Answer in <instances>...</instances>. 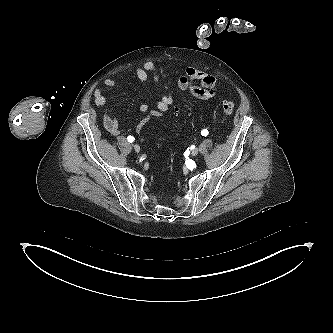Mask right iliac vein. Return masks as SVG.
<instances>
[{"label":"right iliac vein","instance_id":"obj_1","mask_svg":"<svg viewBox=\"0 0 333 333\" xmlns=\"http://www.w3.org/2000/svg\"><path fill=\"white\" fill-rule=\"evenodd\" d=\"M133 147H134V150H135L137 153L140 152V146H139V145L135 144Z\"/></svg>","mask_w":333,"mask_h":333}]
</instances>
